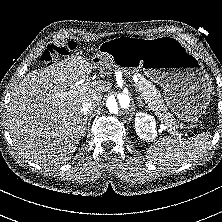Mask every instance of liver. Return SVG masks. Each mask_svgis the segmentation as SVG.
Here are the masks:
<instances>
[{"label": "liver", "instance_id": "6515ba94", "mask_svg": "<svg viewBox=\"0 0 222 222\" xmlns=\"http://www.w3.org/2000/svg\"><path fill=\"white\" fill-rule=\"evenodd\" d=\"M96 68L82 56H73L31 71L15 86L5 112L6 126L26 159L44 166L71 159L85 131L82 103H98L111 87L103 80L76 85Z\"/></svg>", "mask_w": 222, "mask_h": 222}]
</instances>
